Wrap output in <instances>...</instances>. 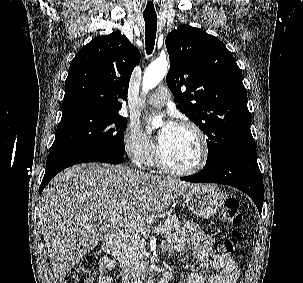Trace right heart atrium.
I'll return each mask as SVG.
<instances>
[{"label":"right heart atrium","instance_id":"right-heart-atrium-1","mask_svg":"<svg viewBox=\"0 0 303 283\" xmlns=\"http://www.w3.org/2000/svg\"><path fill=\"white\" fill-rule=\"evenodd\" d=\"M124 147L129 157L138 165L149 164L156 152L152 141L134 123L125 131Z\"/></svg>","mask_w":303,"mask_h":283}]
</instances>
